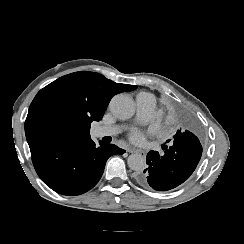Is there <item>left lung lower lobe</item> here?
<instances>
[{
  "label": "left lung lower lobe",
  "instance_id": "obj_1",
  "mask_svg": "<svg viewBox=\"0 0 244 244\" xmlns=\"http://www.w3.org/2000/svg\"><path fill=\"white\" fill-rule=\"evenodd\" d=\"M198 129L191 118L182 120V128L162 145L164 152L150 151L147 154L148 167L138 172L136 179L145 187L157 191L173 189L186 181L195 170L201 155L202 145Z\"/></svg>",
  "mask_w": 244,
  "mask_h": 244
}]
</instances>
